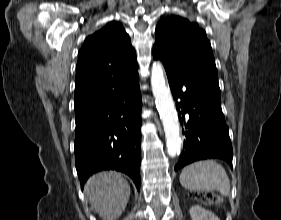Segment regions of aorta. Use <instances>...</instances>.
<instances>
[{
	"label": "aorta",
	"mask_w": 281,
	"mask_h": 220,
	"mask_svg": "<svg viewBox=\"0 0 281 220\" xmlns=\"http://www.w3.org/2000/svg\"><path fill=\"white\" fill-rule=\"evenodd\" d=\"M152 92L163 123L167 153L175 157L181 150L180 126L170 89L166 86L161 63H154L151 71Z\"/></svg>",
	"instance_id": "762f6f07"
}]
</instances>
